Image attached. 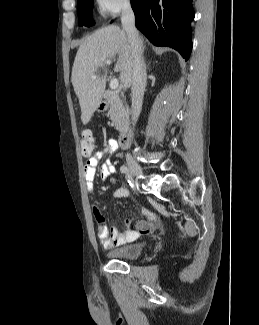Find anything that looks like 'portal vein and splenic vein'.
Here are the masks:
<instances>
[{
    "instance_id": "portal-vein-and-splenic-vein-1",
    "label": "portal vein and splenic vein",
    "mask_w": 259,
    "mask_h": 325,
    "mask_svg": "<svg viewBox=\"0 0 259 325\" xmlns=\"http://www.w3.org/2000/svg\"><path fill=\"white\" fill-rule=\"evenodd\" d=\"M105 64H106V65H110V64H111V60H107ZM96 78H97L96 75H93V76H92V79H93V80H95ZM109 86H110V88H111L112 90L117 89L118 86H119V81H118V79H116V78L111 79Z\"/></svg>"
}]
</instances>
